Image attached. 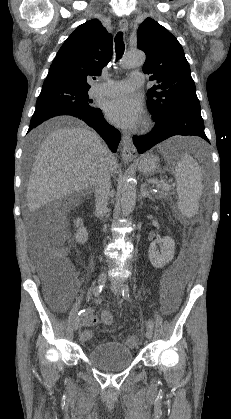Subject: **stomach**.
<instances>
[{"label":"stomach","mask_w":231,"mask_h":419,"mask_svg":"<svg viewBox=\"0 0 231 419\" xmlns=\"http://www.w3.org/2000/svg\"><path fill=\"white\" fill-rule=\"evenodd\" d=\"M137 166L144 174H154L159 170V159L153 153H146L137 160Z\"/></svg>","instance_id":"stomach-1"}]
</instances>
